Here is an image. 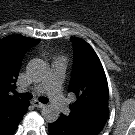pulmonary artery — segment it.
Here are the masks:
<instances>
[{
    "label": "pulmonary artery",
    "instance_id": "pulmonary-artery-1",
    "mask_svg": "<svg viewBox=\"0 0 135 135\" xmlns=\"http://www.w3.org/2000/svg\"><path fill=\"white\" fill-rule=\"evenodd\" d=\"M66 65L63 60H57L52 65L51 74L44 82L34 85L31 89L37 93H48L53 105L62 111H65L67 105L61 94L62 82L65 74Z\"/></svg>",
    "mask_w": 135,
    "mask_h": 135
}]
</instances>
